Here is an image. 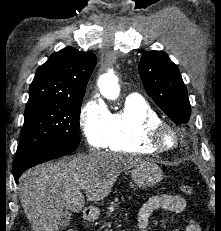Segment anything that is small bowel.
Wrapping results in <instances>:
<instances>
[{"label":"small bowel","mask_w":221,"mask_h":231,"mask_svg":"<svg viewBox=\"0 0 221 231\" xmlns=\"http://www.w3.org/2000/svg\"><path fill=\"white\" fill-rule=\"evenodd\" d=\"M186 201L178 195H157L149 198L139 209L137 222L140 231H147L149 220L155 210L165 209L174 213L185 210ZM185 231H201V227L194 219L187 220Z\"/></svg>","instance_id":"1"}]
</instances>
